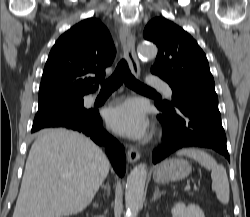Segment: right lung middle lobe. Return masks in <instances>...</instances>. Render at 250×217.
<instances>
[{
	"label": "right lung middle lobe",
	"instance_id": "1",
	"mask_svg": "<svg viewBox=\"0 0 250 217\" xmlns=\"http://www.w3.org/2000/svg\"><path fill=\"white\" fill-rule=\"evenodd\" d=\"M91 110L83 107V98L59 101L50 105L39 107L34 118L32 133H36L50 125L86 119Z\"/></svg>",
	"mask_w": 250,
	"mask_h": 217
}]
</instances>
